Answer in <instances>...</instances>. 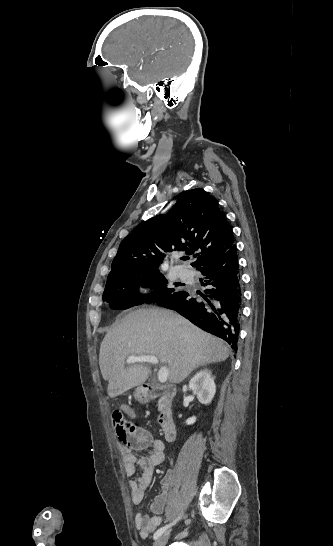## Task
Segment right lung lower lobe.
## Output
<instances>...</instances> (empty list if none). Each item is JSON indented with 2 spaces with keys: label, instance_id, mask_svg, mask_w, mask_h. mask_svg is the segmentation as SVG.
<instances>
[{
  "label": "right lung lower lobe",
  "instance_id": "right-lung-lower-lobe-1",
  "mask_svg": "<svg viewBox=\"0 0 333 546\" xmlns=\"http://www.w3.org/2000/svg\"><path fill=\"white\" fill-rule=\"evenodd\" d=\"M199 271L205 290L204 298L179 291L156 302L177 311L201 329L225 340L237 352L242 312V291L235 245L223 256Z\"/></svg>",
  "mask_w": 333,
  "mask_h": 546
}]
</instances>
